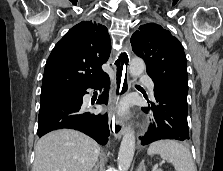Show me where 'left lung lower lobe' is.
<instances>
[{"label":"left lung lower lobe","mask_w":223,"mask_h":171,"mask_svg":"<svg viewBox=\"0 0 223 171\" xmlns=\"http://www.w3.org/2000/svg\"><path fill=\"white\" fill-rule=\"evenodd\" d=\"M154 97V101H148V107L143 108L151 115L152 123L140 138L141 145L162 139L188 140L187 97L166 87H154Z\"/></svg>","instance_id":"1"}]
</instances>
